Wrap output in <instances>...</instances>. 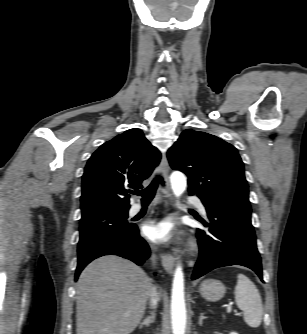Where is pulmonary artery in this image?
Instances as JSON below:
<instances>
[{
  "mask_svg": "<svg viewBox=\"0 0 307 334\" xmlns=\"http://www.w3.org/2000/svg\"><path fill=\"white\" fill-rule=\"evenodd\" d=\"M191 202L198 208V210L200 211L201 214H203L204 216L207 215V211H206V208L203 204V202L198 199V198H193L191 200ZM142 211V208L140 205H133L129 211V214L131 216H134V215H137L138 213H140Z\"/></svg>",
  "mask_w": 307,
  "mask_h": 334,
  "instance_id": "obj_1",
  "label": "pulmonary artery"
}]
</instances>
